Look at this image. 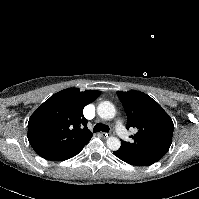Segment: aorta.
<instances>
[{
	"instance_id": "1",
	"label": "aorta",
	"mask_w": 199,
	"mask_h": 199,
	"mask_svg": "<svg viewBox=\"0 0 199 199\" xmlns=\"http://www.w3.org/2000/svg\"><path fill=\"white\" fill-rule=\"evenodd\" d=\"M97 113L102 119L110 120L115 117L116 109L112 103L104 101L98 105ZM107 146L109 149L116 151L120 148L121 142L117 137H109L107 139Z\"/></svg>"
}]
</instances>
